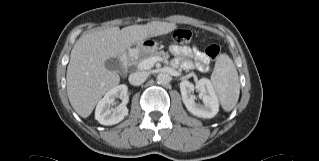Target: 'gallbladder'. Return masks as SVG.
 <instances>
[{"mask_svg":"<svg viewBox=\"0 0 319 161\" xmlns=\"http://www.w3.org/2000/svg\"><path fill=\"white\" fill-rule=\"evenodd\" d=\"M105 67L111 71H121L122 65L118 58H110L106 60Z\"/></svg>","mask_w":319,"mask_h":161,"instance_id":"bac80fb5","label":"gallbladder"}]
</instances>
